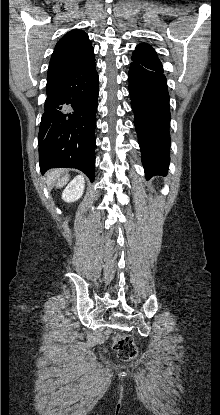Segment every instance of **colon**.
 Returning a JSON list of instances; mask_svg holds the SVG:
<instances>
[{"label":"colon","instance_id":"obj_1","mask_svg":"<svg viewBox=\"0 0 220 415\" xmlns=\"http://www.w3.org/2000/svg\"><path fill=\"white\" fill-rule=\"evenodd\" d=\"M113 350L122 360H132L136 357L137 349L129 336L116 335L113 339Z\"/></svg>","mask_w":220,"mask_h":415}]
</instances>
